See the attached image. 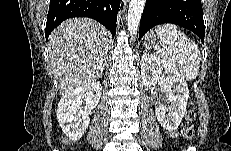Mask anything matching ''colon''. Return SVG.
I'll return each mask as SVG.
<instances>
[{
  "label": "colon",
  "instance_id": "colon-1",
  "mask_svg": "<svg viewBox=\"0 0 231 151\" xmlns=\"http://www.w3.org/2000/svg\"><path fill=\"white\" fill-rule=\"evenodd\" d=\"M195 118V113L192 110H189L186 113L185 119H186V127L184 130V135L187 139H191L193 137V128H192V122Z\"/></svg>",
  "mask_w": 231,
  "mask_h": 151
}]
</instances>
